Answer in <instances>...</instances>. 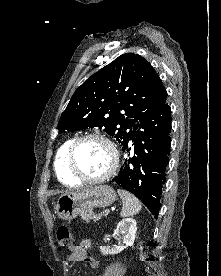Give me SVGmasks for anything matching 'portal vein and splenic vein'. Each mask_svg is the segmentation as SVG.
Instances as JSON below:
<instances>
[{"label": "portal vein and splenic vein", "instance_id": "portal-vein-and-splenic-vein-1", "mask_svg": "<svg viewBox=\"0 0 221 276\" xmlns=\"http://www.w3.org/2000/svg\"><path fill=\"white\" fill-rule=\"evenodd\" d=\"M109 212H110V210L107 209V210H105L103 213H104L105 215H107Z\"/></svg>", "mask_w": 221, "mask_h": 276}]
</instances>
